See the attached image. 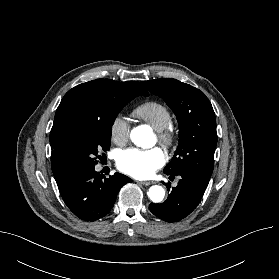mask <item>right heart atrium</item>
Masks as SVG:
<instances>
[{"label":"right heart atrium","instance_id":"d8ad5b80","mask_svg":"<svg viewBox=\"0 0 279 279\" xmlns=\"http://www.w3.org/2000/svg\"><path fill=\"white\" fill-rule=\"evenodd\" d=\"M130 133V124L128 119L121 113L116 114L109 126V135L111 141L116 145H123L127 142Z\"/></svg>","mask_w":279,"mask_h":279}]
</instances>
